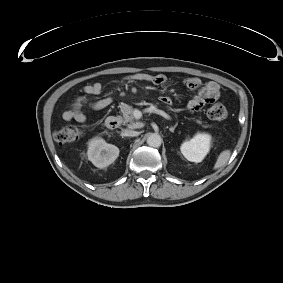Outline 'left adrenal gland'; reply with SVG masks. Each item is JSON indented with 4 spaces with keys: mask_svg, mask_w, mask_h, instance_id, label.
Wrapping results in <instances>:
<instances>
[{
    "mask_svg": "<svg viewBox=\"0 0 283 283\" xmlns=\"http://www.w3.org/2000/svg\"><path fill=\"white\" fill-rule=\"evenodd\" d=\"M178 123H176L174 126L170 127L169 130L171 132H174L175 128L177 127Z\"/></svg>",
    "mask_w": 283,
    "mask_h": 283,
    "instance_id": "left-adrenal-gland-1",
    "label": "left adrenal gland"
}]
</instances>
